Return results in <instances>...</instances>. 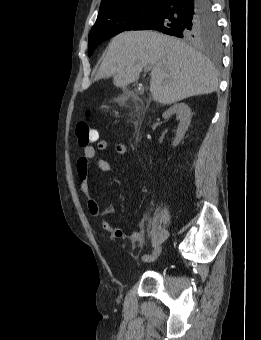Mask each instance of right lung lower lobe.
I'll list each match as a JSON object with an SVG mask.
<instances>
[{
	"instance_id": "98d812e1",
	"label": "right lung lower lobe",
	"mask_w": 261,
	"mask_h": 340,
	"mask_svg": "<svg viewBox=\"0 0 261 340\" xmlns=\"http://www.w3.org/2000/svg\"><path fill=\"white\" fill-rule=\"evenodd\" d=\"M210 13V0H162L156 10L132 30H156L181 38L190 19Z\"/></svg>"
}]
</instances>
